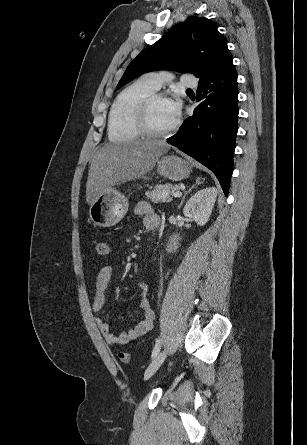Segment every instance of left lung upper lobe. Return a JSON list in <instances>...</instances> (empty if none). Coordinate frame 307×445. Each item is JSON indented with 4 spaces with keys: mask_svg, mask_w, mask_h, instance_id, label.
<instances>
[{
    "mask_svg": "<svg viewBox=\"0 0 307 445\" xmlns=\"http://www.w3.org/2000/svg\"><path fill=\"white\" fill-rule=\"evenodd\" d=\"M232 56L214 22L192 16L144 49L127 67L117 89L142 73L174 69L201 78Z\"/></svg>",
    "mask_w": 307,
    "mask_h": 445,
    "instance_id": "obj_1",
    "label": "left lung upper lobe"
}]
</instances>
